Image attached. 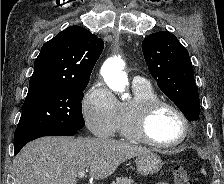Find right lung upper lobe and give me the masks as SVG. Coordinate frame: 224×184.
Masks as SVG:
<instances>
[{
    "label": "right lung upper lobe",
    "instance_id": "right-lung-upper-lobe-1",
    "mask_svg": "<svg viewBox=\"0 0 224 184\" xmlns=\"http://www.w3.org/2000/svg\"><path fill=\"white\" fill-rule=\"evenodd\" d=\"M104 42L80 26H70L46 42L34 62L29 87L88 84Z\"/></svg>",
    "mask_w": 224,
    "mask_h": 184
}]
</instances>
